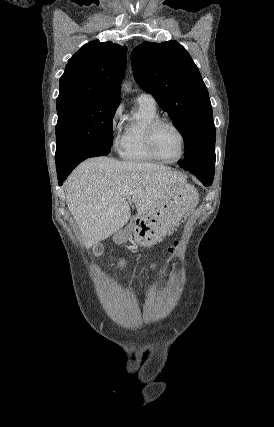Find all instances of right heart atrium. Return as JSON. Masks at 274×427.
<instances>
[{
  "mask_svg": "<svg viewBox=\"0 0 274 427\" xmlns=\"http://www.w3.org/2000/svg\"><path fill=\"white\" fill-rule=\"evenodd\" d=\"M120 112L118 110L114 111L111 115L109 122V131L113 144H116L119 140L120 134L122 132V124L119 121Z\"/></svg>",
  "mask_w": 274,
  "mask_h": 427,
  "instance_id": "obj_1",
  "label": "right heart atrium"
}]
</instances>
